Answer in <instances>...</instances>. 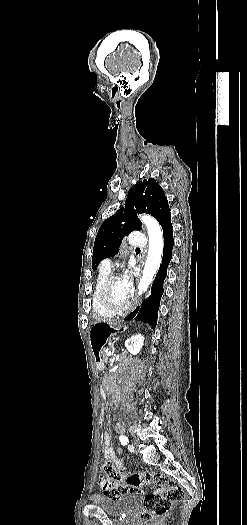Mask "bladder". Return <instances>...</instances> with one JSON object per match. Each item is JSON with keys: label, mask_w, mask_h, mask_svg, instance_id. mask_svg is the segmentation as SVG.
Masks as SVG:
<instances>
[{"label": "bladder", "mask_w": 247, "mask_h": 525, "mask_svg": "<svg viewBox=\"0 0 247 525\" xmlns=\"http://www.w3.org/2000/svg\"><path fill=\"white\" fill-rule=\"evenodd\" d=\"M94 505L104 510L106 515L110 517H123L134 510L142 507V503L138 496L123 495L114 499L104 496H94Z\"/></svg>", "instance_id": "obj_1"}]
</instances>
